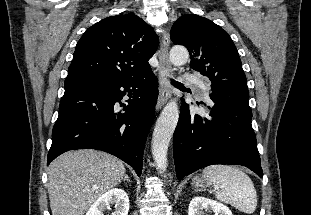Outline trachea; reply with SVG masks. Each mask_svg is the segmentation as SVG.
<instances>
[{
    "label": "trachea",
    "instance_id": "3493384b",
    "mask_svg": "<svg viewBox=\"0 0 311 215\" xmlns=\"http://www.w3.org/2000/svg\"><path fill=\"white\" fill-rule=\"evenodd\" d=\"M171 82H172V85H174L176 87H183V84H181V83H179L177 81L172 80Z\"/></svg>",
    "mask_w": 311,
    "mask_h": 215
}]
</instances>
